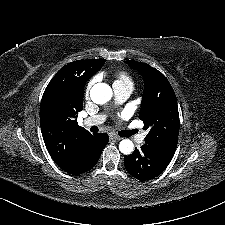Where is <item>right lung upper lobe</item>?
Returning <instances> with one entry per match:
<instances>
[{
  "mask_svg": "<svg viewBox=\"0 0 225 225\" xmlns=\"http://www.w3.org/2000/svg\"><path fill=\"white\" fill-rule=\"evenodd\" d=\"M105 60H78L63 66L51 79L40 105V125L45 146L54 162L65 172L77 168L79 149L90 134L78 126L83 109L86 81Z\"/></svg>",
  "mask_w": 225,
  "mask_h": 225,
  "instance_id": "1",
  "label": "right lung upper lobe"
}]
</instances>
